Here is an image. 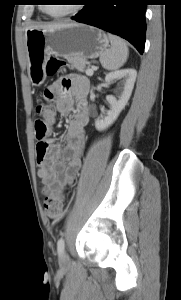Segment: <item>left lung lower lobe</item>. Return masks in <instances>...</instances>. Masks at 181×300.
<instances>
[{"mask_svg":"<svg viewBox=\"0 0 181 300\" xmlns=\"http://www.w3.org/2000/svg\"><path fill=\"white\" fill-rule=\"evenodd\" d=\"M85 7L72 17L129 41L140 54L146 34V0H85Z\"/></svg>","mask_w":181,"mask_h":300,"instance_id":"obj_1","label":"left lung lower lobe"}]
</instances>
